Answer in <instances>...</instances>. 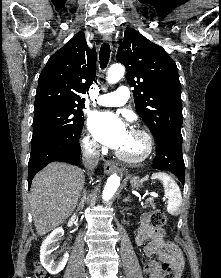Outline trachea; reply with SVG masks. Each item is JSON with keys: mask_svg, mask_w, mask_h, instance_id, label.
<instances>
[{"mask_svg": "<svg viewBox=\"0 0 221 278\" xmlns=\"http://www.w3.org/2000/svg\"><path fill=\"white\" fill-rule=\"evenodd\" d=\"M110 52V45L108 43L102 44L99 52L100 67L102 69H104L109 62Z\"/></svg>", "mask_w": 221, "mask_h": 278, "instance_id": "trachea-1", "label": "trachea"}]
</instances>
